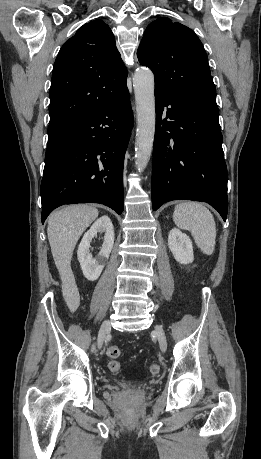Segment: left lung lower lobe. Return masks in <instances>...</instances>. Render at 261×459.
<instances>
[{"instance_id":"obj_1","label":"left lung lower lobe","mask_w":261,"mask_h":459,"mask_svg":"<svg viewBox=\"0 0 261 459\" xmlns=\"http://www.w3.org/2000/svg\"><path fill=\"white\" fill-rule=\"evenodd\" d=\"M152 207L171 200L213 206L226 221L227 168L218 107L187 102L155 89Z\"/></svg>"}]
</instances>
